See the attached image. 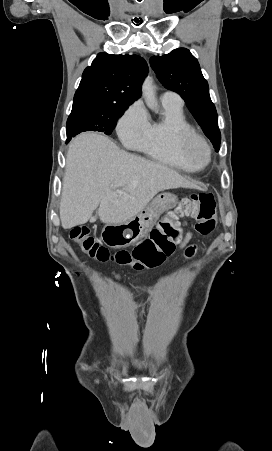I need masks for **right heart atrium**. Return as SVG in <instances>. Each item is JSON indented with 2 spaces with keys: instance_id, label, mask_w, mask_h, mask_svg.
<instances>
[{
  "instance_id": "1",
  "label": "right heart atrium",
  "mask_w": 272,
  "mask_h": 451,
  "mask_svg": "<svg viewBox=\"0 0 272 451\" xmlns=\"http://www.w3.org/2000/svg\"><path fill=\"white\" fill-rule=\"evenodd\" d=\"M148 127V115L143 105L140 102H136L122 116L117 130L124 142L135 146L143 140Z\"/></svg>"
}]
</instances>
